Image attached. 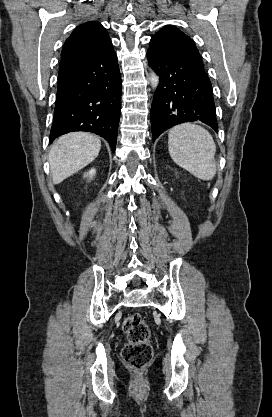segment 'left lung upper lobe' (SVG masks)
Here are the masks:
<instances>
[{"instance_id": "1", "label": "left lung upper lobe", "mask_w": 272, "mask_h": 417, "mask_svg": "<svg viewBox=\"0 0 272 417\" xmlns=\"http://www.w3.org/2000/svg\"><path fill=\"white\" fill-rule=\"evenodd\" d=\"M150 49L201 61L194 41L174 26L167 25L158 31L150 41Z\"/></svg>"}]
</instances>
